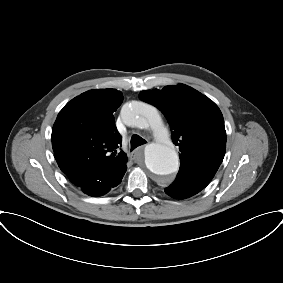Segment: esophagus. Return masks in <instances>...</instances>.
Here are the masks:
<instances>
[{"instance_id":"1","label":"esophagus","mask_w":283,"mask_h":283,"mask_svg":"<svg viewBox=\"0 0 283 283\" xmlns=\"http://www.w3.org/2000/svg\"><path fill=\"white\" fill-rule=\"evenodd\" d=\"M143 149H144V146H141V147L137 148L135 151H133V152L131 153V158H132L134 161H137V160L139 159V156H140V154L142 153Z\"/></svg>"}]
</instances>
